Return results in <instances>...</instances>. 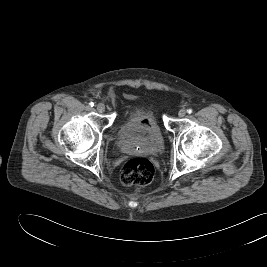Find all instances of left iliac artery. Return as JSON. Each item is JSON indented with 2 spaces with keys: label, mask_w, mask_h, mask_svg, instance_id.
Returning a JSON list of instances; mask_svg holds the SVG:
<instances>
[{
  "label": "left iliac artery",
  "mask_w": 267,
  "mask_h": 267,
  "mask_svg": "<svg viewBox=\"0 0 267 267\" xmlns=\"http://www.w3.org/2000/svg\"><path fill=\"white\" fill-rule=\"evenodd\" d=\"M187 113L191 114L192 113V109L191 108L187 109Z\"/></svg>",
  "instance_id": "left-iliac-artery-1"
}]
</instances>
